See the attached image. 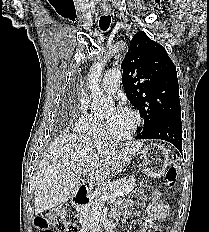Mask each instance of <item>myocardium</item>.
I'll list each match as a JSON object with an SVG mask.
<instances>
[{"label":"myocardium","instance_id":"f54148a6","mask_svg":"<svg viewBox=\"0 0 209 232\" xmlns=\"http://www.w3.org/2000/svg\"><path fill=\"white\" fill-rule=\"evenodd\" d=\"M116 109L125 110V111L129 112L133 116L134 124H133L131 130L128 133L122 134V135L113 134L109 129L107 119L103 116L102 117L103 133H104L105 137L108 138V139H114V140H126V139H129L135 134V132L137 131V129L141 125V123H142L141 115L136 109H134L133 107H130V106H120V107H116Z\"/></svg>","mask_w":209,"mask_h":232}]
</instances>
